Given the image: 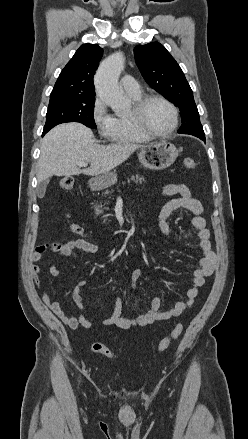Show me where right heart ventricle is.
<instances>
[{
    "mask_svg": "<svg viewBox=\"0 0 248 439\" xmlns=\"http://www.w3.org/2000/svg\"><path fill=\"white\" fill-rule=\"evenodd\" d=\"M133 101L141 98L139 94H129ZM111 139L117 143L139 144L150 141L151 137L141 132L132 117V112L126 115H119L115 118V126Z\"/></svg>",
    "mask_w": 248,
    "mask_h": 439,
    "instance_id": "e07e8e85",
    "label": "right heart ventricle"
}]
</instances>
